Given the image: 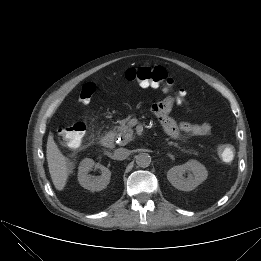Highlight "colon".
I'll return each mask as SVG.
<instances>
[{
	"mask_svg": "<svg viewBox=\"0 0 261 261\" xmlns=\"http://www.w3.org/2000/svg\"><path fill=\"white\" fill-rule=\"evenodd\" d=\"M125 78L129 81L141 85L160 86L165 91L174 92L178 102L186 101V92L182 89L174 88V81L168 75L167 71L161 66L155 67H132L126 70ZM96 91V85L93 82L84 84L79 94V101L82 104L90 103ZM86 133V125L83 122H76L70 126L61 128L59 134L64 142L73 148L79 147ZM218 155L224 162H230L234 159L235 150L231 144L224 143L218 146Z\"/></svg>",
	"mask_w": 261,
	"mask_h": 261,
	"instance_id": "obj_1",
	"label": "colon"
}]
</instances>
